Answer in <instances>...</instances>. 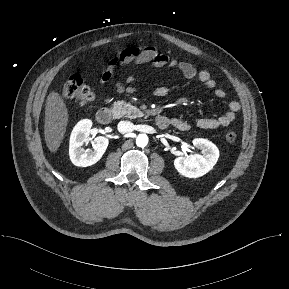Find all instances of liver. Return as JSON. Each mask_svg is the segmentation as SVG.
I'll return each mask as SVG.
<instances>
[{
    "instance_id": "6515ba94",
    "label": "liver",
    "mask_w": 289,
    "mask_h": 289,
    "mask_svg": "<svg viewBox=\"0 0 289 289\" xmlns=\"http://www.w3.org/2000/svg\"><path fill=\"white\" fill-rule=\"evenodd\" d=\"M68 109L59 93L52 91L46 99L44 137L51 153H56L68 124Z\"/></svg>"
}]
</instances>
